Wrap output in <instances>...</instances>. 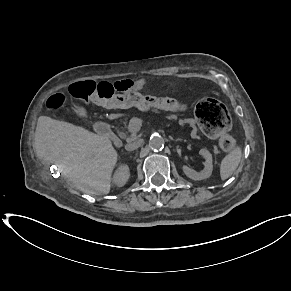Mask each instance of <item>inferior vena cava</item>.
Instances as JSON below:
<instances>
[{
	"label": "inferior vena cava",
	"instance_id": "1",
	"mask_svg": "<svg viewBox=\"0 0 291 291\" xmlns=\"http://www.w3.org/2000/svg\"><path fill=\"white\" fill-rule=\"evenodd\" d=\"M143 143V140L142 139H138V140H135L133 142H130L128 144L125 145V149L127 151H133V150H136L138 149Z\"/></svg>",
	"mask_w": 291,
	"mask_h": 291
}]
</instances>
